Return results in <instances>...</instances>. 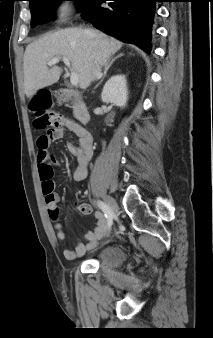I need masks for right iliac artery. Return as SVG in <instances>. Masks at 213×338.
Masks as SVG:
<instances>
[{
    "mask_svg": "<svg viewBox=\"0 0 213 338\" xmlns=\"http://www.w3.org/2000/svg\"><path fill=\"white\" fill-rule=\"evenodd\" d=\"M98 206L100 207V209L103 211L105 215V218L107 220L108 231L110 233L112 229V225H113V213L110 211L108 206L102 201H98Z\"/></svg>",
    "mask_w": 213,
    "mask_h": 338,
    "instance_id": "82829eb1",
    "label": "right iliac artery"
}]
</instances>
